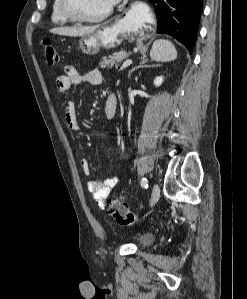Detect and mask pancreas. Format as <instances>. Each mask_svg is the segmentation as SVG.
I'll return each instance as SVG.
<instances>
[{"mask_svg": "<svg viewBox=\"0 0 247 299\" xmlns=\"http://www.w3.org/2000/svg\"><path fill=\"white\" fill-rule=\"evenodd\" d=\"M127 57L128 53H126L125 51H120L114 53L113 55H110L108 58H103V60L100 62V66L101 68L113 67L114 65H117L120 62H122Z\"/></svg>", "mask_w": 247, "mask_h": 299, "instance_id": "1", "label": "pancreas"}]
</instances>
